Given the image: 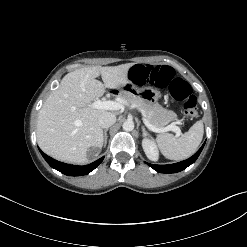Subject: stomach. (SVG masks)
<instances>
[{"mask_svg": "<svg viewBox=\"0 0 247 247\" xmlns=\"http://www.w3.org/2000/svg\"><path fill=\"white\" fill-rule=\"evenodd\" d=\"M121 94L132 98H140L149 104H156L161 98V93L157 89L151 87L138 88L130 81L123 86Z\"/></svg>", "mask_w": 247, "mask_h": 247, "instance_id": "stomach-1", "label": "stomach"}]
</instances>
